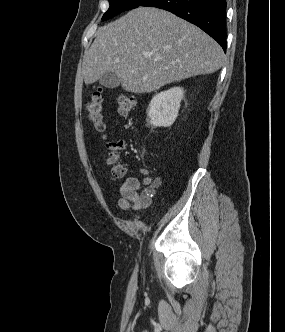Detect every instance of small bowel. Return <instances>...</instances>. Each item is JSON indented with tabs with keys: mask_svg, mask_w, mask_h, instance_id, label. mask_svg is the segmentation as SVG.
I'll list each match as a JSON object with an SVG mask.
<instances>
[{
	"mask_svg": "<svg viewBox=\"0 0 285 332\" xmlns=\"http://www.w3.org/2000/svg\"><path fill=\"white\" fill-rule=\"evenodd\" d=\"M142 180L128 177L120 186L118 205L123 210L138 211L150 204V197L161 186L162 178L151 175L147 168H140Z\"/></svg>",
	"mask_w": 285,
	"mask_h": 332,
	"instance_id": "c3829d8e",
	"label": "small bowel"
}]
</instances>
